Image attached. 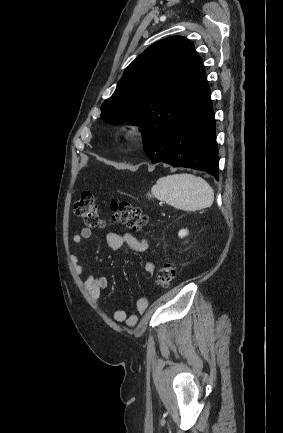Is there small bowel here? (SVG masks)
<instances>
[{
    "mask_svg": "<svg viewBox=\"0 0 283 433\" xmlns=\"http://www.w3.org/2000/svg\"><path fill=\"white\" fill-rule=\"evenodd\" d=\"M92 236V230L89 227H84L81 231L73 236V242L76 245H81L84 240L90 239ZM106 241L108 246L113 250H119L124 247H128L137 252L146 251L148 248V242L144 238H137L129 232L116 233L108 232L106 234ZM72 264L74 270L79 275H85L84 285L90 295L95 299L99 300L102 291L108 285V279L106 277H95L90 272L86 271L85 267L80 264L79 256L74 254L72 256ZM155 271V265L152 262H147L145 264V272L148 274H153ZM148 307V300L146 298H140L136 302V309L139 314L146 311ZM114 319L118 322H124L127 327L133 328L138 317L136 315H127L125 311L117 310L113 315Z\"/></svg>",
    "mask_w": 283,
    "mask_h": 433,
    "instance_id": "c3829d8e",
    "label": "small bowel"
}]
</instances>
